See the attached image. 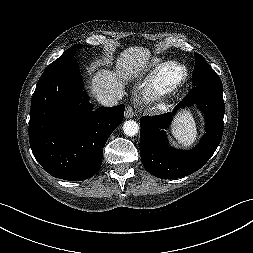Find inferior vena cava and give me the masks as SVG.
Listing matches in <instances>:
<instances>
[{
    "label": "inferior vena cava",
    "instance_id": "1",
    "mask_svg": "<svg viewBox=\"0 0 253 253\" xmlns=\"http://www.w3.org/2000/svg\"><path fill=\"white\" fill-rule=\"evenodd\" d=\"M123 94L122 93H116V94H98L97 95V101L103 105V106H116L118 102L122 99Z\"/></svg>",
    "mask_w": 253,
    "mask_h": 253
}]
</instances>
